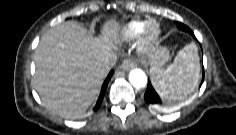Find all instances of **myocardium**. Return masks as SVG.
<instances>
[{"label":"myocardium","mask_w":236,"mask_h":135,"mask_svg":"<svg viewBox=\"0 0 236 135\" xmlns=\"http://www.w3.org/2000/svg\"><path fill=\"white\" fill-rule=\"evenodd\" d=\"M161 31V25L156 18L147 19L139 37V51L146 53L152 50L160 39Z\"/></svg>","instance_id":"1"}]
</instances>
